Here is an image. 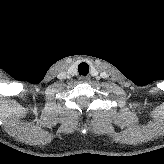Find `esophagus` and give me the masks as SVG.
<instances>
[{
    "label": "esophagus",
    "instance_id": "esophagus-1",
    "mask_svg": "<svg viewBox=\"0 0 164 164\" xmlns=\"http://www.w3.org/2000/svg\"><path fill=\"white\" fill-rule=\"evenodd\" d=\"M89 77H87V76H80L79 77V80L81 81V82H87V81H89Z\"/></svg>",
    "mask_w": 164,
    "mask_h": 164
}]
</instances>
